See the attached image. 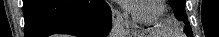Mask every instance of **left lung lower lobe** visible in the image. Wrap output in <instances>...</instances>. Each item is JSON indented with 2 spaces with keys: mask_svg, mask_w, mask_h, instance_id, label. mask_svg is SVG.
<instances>
[{
  "mask_svg": "<svg viewBox=\"0 0 219 37\" xmlns=\"http://www.w3.org/2000/svg\"><path fill=\"white\" fill-rule=\"evenodd\" d=\"M188 37H193V34H192V35H190V36H188Z\"/></svg>",
  "mask_w": 219,
  "mask_h": 37,
  "instance_id": "0a47b994",
  "label": "left lung lower lobe"
}]
</instances>
